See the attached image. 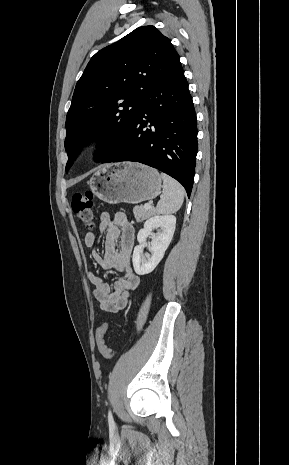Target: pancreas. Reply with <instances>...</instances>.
I'll list each match as a JSON object with an SVG mask.
<instances>
[{
    "label": "pancreas",
    "instance_id": "obj_1",
    "mask_svg": "<svg viewBox=\"0 0 289 465\" xmlns=\"http://www.w3.org/2000/svg\"><path fill=\"white\" fill-rule=\"evenodd\" d=\"M133 213L135 216L136 221H143L150 217L153 214V210L150 209H145L144 206H135L133 208Z\"/></svg>",
    "mask_w": 289,
    "mask_h": 465
}]
</instances>
